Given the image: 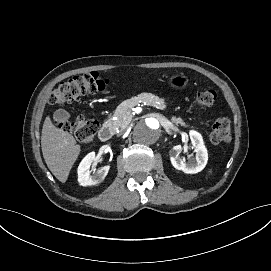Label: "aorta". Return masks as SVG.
Here are the masks:
<instances>
[{
  "instance_id": "aorta-1",
  "label": "aorta",
  "mask_w": 271,
  "mask_h": 271,
  "mask_svg": "<svg viewBox=\"0 0 271 271\" xmlns=\"http://www.w3.org/2000/svg\"><path fill=\"white\" fill-rule=\"evenodd\" d=\"M161 135V126L155 118L140 120L133 129V139L142 145L154 144Z\"/></svg>"
}]
</instances>
